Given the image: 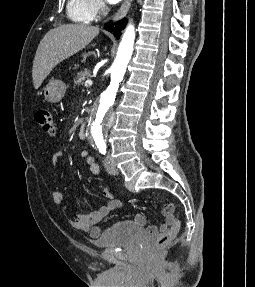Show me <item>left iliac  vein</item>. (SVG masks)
<instances>
[{
    "mask_svg": "<svg viewBox=\"0 0 255 287\" xmlns=\"http://www.w3.org/2000/svg\"><path fill=\"white\" fill-rule=\"evenodd\" d=\"M105 168L109 174L117 175L119 173L118 169L116 168L109 155L106 157L105 160Z\"/></svg>",
    "mask_w": 255,
    "mask_h": 287,
    "instance_id": "4c4485c4",
    "label": "left iliac vein"
}]
</instances>
